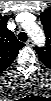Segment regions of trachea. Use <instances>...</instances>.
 I'll use <instances>...</instances> for the list:
<instances>
[{"label": "trachea", "instance_id": "trachea-1", "mask_svg": "<svg viewBox=\"0 0 51 101\" xmlns=\"http://www.w3.org/2000/svg\"><path fill=\"white\" fill-rule=\"evenodd\" d=\"M18 38L20 41L26 42L28 39V36L25 32H20L18 35Z\"/></svg>", "mask_w": 51, "mask_h": 101}]
</instances>
